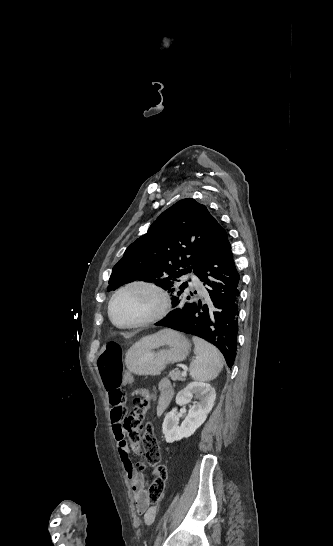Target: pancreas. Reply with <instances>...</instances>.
I'll return each mask as SVG.
<instances>
[{
  "instance_id": "pancreas-1",
  "label": "pancreas",
  "mask_w": 333,
  "mask_h": 546,
  "mask_svg": "<svg viewBox=\"0 0 333 546\" xmlns=\"http://www.w3.org/2000/svg\"><path fill=\"white\" fill-rule=\"evenodd\" d=\"M173 381H185V377L181 376L179 370H172L168 375Z\"/></svg>"
}]
</instances>
